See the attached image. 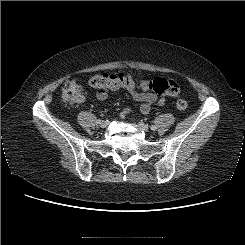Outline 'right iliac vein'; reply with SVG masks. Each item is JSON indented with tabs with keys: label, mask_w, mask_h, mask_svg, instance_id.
I'll return each mask as SVG.
<instances>
[{
	"label": "right iliac vein",
	"mask_w": 245,
	"mask_h": 245,
	"mask_svg": "<svg viewBox=\"0 0 245 245\" xmlns=\"http://www.w3.org/2000/svg\"><path fill=\"white\" fill-rule=\"evenodd\" d=\"M107 126H108V122L107 121H101L100 122V127L105 128Z\"/></svg>",
	"instance_id": "1"
}]
</instances>
